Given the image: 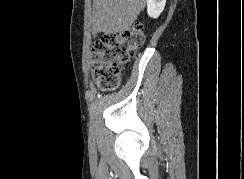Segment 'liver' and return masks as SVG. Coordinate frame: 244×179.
<instances>
[{"mask_svg":"<svg viewBox=\"0 0 244 179\" xmlns=\"http://www.w3.org/2000/svg\"><path fill=\"white\" fill-rule=\"evenodd\" d=\"M145 6L146 0H93V32H126Z\"/></svg>","mask_w":244,"mask_h":179,"instance_id":"6515ba94","label":"liver"}]
</instances>
